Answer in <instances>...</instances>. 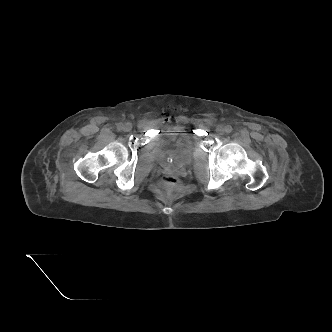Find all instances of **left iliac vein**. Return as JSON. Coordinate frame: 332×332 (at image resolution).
I'll use <instances>...</instances> for the list:
<instances>
[{"mask_svg":"<svg viewBox=\"0 0 332 332\" xmlns=\"http://www.w3.org/2000/svg\"><path fill=\"white\" fill-rule=\"evenodd\" d=\"M217 133L224 134L226 132L225 127L222 125H218L216 128Z\"/></svg>","mask_w":332,"mask_h":332,"instance_id":"left-iliac-vein-1","label":"left iliac vein"}]
</instances>
